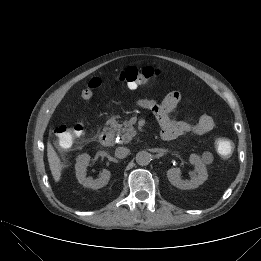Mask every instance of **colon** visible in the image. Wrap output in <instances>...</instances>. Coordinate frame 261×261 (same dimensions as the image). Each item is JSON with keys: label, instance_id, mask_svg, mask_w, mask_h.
I'll return each mask as SVG.
<instances>
[{"label": "colon", "instance_id": "obj_1", "mask_svg": "<svg viewBox=\"0 0 261 261\" xmlns=\"http://www.w3.org/2000/svg\"><path fill=\"white\" fill-rule=\"evenodd\" d=\"M160 75L159 69L152 67L137 68L127 67L120 70L114 75V79L118 82L127 85L145 84L153 78ZM102 85V79L99 77L92 78L85 88L82 90L81 96L84 100H89L94 94V91ZM55 135L58 138L59 145L62 148H69L74 142L82 136L84 128L82 124H75L73 126L61 125L55 128ZM215 148L217 153L224 159H229L234 152L233 142L225 137H218L215 141Z\"/></svg>", "mask_w": 261, "mask_h": 261}]
</instances>
